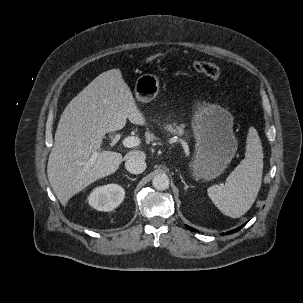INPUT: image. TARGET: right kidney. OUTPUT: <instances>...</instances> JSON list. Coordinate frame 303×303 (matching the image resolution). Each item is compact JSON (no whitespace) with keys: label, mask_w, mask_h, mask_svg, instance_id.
Here are the masks:
<instances>
[{"label":"right kidney","mask_w":303,"mask_h":303,"mask_svg":"<svg viewBox=\"0 0 303 303\" xmlns=\"http://www.w3.org/2000/svg\"><path fill=\"white\" fill-rule=\"evenodd\" d=\"M125 197L124 189L117 184L96 187L88 196V203L98 211H112Z\"/></svg>","instance_id":"1"}]
</instances>
